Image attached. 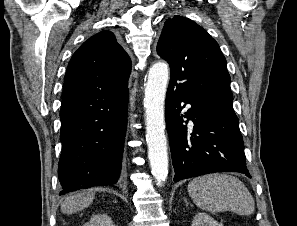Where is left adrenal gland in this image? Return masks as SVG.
Masks as SVG:
<instances>
[{"instance_id": "a2214340", "label": "left adrenal gland", "mask_w": 297, "mask_h": 226, "mask_svg": "<svg viewBox=\"0 0 297 226\" xmlns=\"http://www.w3.org/2000/svg\"><path fill=\"white\" fill-rule=\"evenodd\" d=\"M184 201H185V203H186V206L189 205V203L187 202V200H186L185 198H184Z\"/></svg>"}]
</instances>
